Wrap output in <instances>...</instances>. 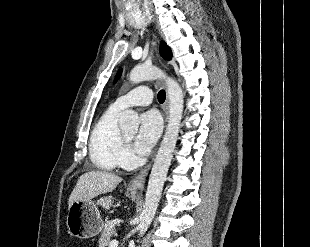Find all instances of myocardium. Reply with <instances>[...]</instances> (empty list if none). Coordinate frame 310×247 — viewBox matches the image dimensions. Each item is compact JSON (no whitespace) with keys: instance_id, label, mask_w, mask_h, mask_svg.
I'll return each instance as SVG.
<instances>
[{"instance_id":"obj_1","label":"myocardium","mask_w":310,"mask_h":247,"mask_svg":"<svg viewBox=\"0 0 310 247\" xmlns=\"http://www.w3.org/2000/svg\"><path fill=\"white\" fill-rule=\"evenodd\" d=\"M125 143L129 142V139L124 136Z\"/></svg>"}]
</instances>
